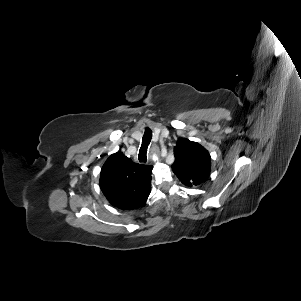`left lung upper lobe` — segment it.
Here are the masks:
<instances>
[{
    "label": "left lung upper lobe",
    "instance_id": "1",
    "mask_svg": "<svg viewBox=\"0 0 301 301\" xmlns=\"http://www.w3.org/2000/svg\"><path fill=\"white\" fill-rule=\"evenodd\" d=\"M174 156L172 170L184 185L197 186L209 177L211 157L199 143L179 139L174 147Z\"/></svg>",
    "mask_w": 301,
    "mask_h": 301
}]
</instances>
